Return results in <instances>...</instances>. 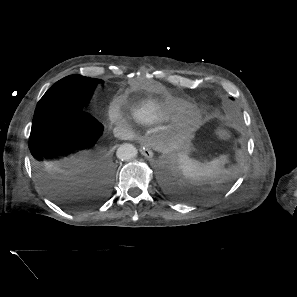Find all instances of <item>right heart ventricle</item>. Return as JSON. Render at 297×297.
<instances>
[{
  "label": "right heart ventricle",
  "instance_id": "1",
  "mask_svg": "<svg viewBox=\"0 0 297 297\" xmlns=\"http://www.w3.org/2000/svg\"><path fill=\"white\" fill-rule=\"evenodd\" d=\"M131 114L137 123L149 125L169 119L173 112L161 103L146 101L135 107Z\"/></svg>",
  "mask_w": 297,
  "mask_h": 297
}]
</instances>
